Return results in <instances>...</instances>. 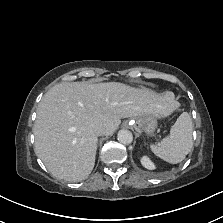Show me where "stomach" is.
Wrapping results in <instances>:
<instances>
[{
  "mask_svg": "<svg viewBox=\"0 0 223 223\" xmlns=\"http://www.w3.org/2000/svg\"><path fill=\"white\" fill-rule=\"evenodd\" d=\"M132 126L137 132H146L153 134L157 127V118L154 115L147 114L132 120Z\"/></svg>",
  "mask_w": 223,
  "mask_h": 223,
  "instance_id": "stomach-1",
  "label": "stomach"
}]
</instances>
